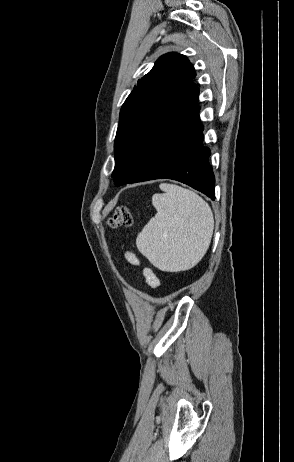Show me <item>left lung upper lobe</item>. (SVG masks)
<instances>
[{"label": "left lung upper lobe", "instance_id": "5c2ea615", "mask_svg": "<svg viewBox=\"0 0 294 462\" xmlns=\"http://www.w3.org/2000/svg\"><path fill=\"white\" fill-rule=\"evenodd\" d=\"M195 76L189 60L184 55L171 52L161 56L151 71L138 80L120 111L112 177L120 170L133 142L154 109L180 97Z\"/></svg>", "mask_w": 294, "mask_h": 462}]
</instances>
